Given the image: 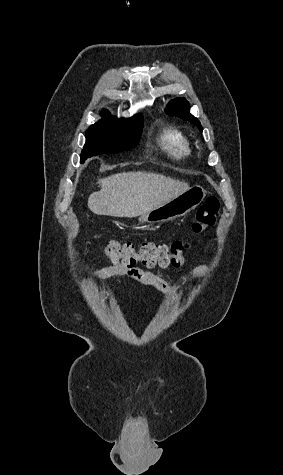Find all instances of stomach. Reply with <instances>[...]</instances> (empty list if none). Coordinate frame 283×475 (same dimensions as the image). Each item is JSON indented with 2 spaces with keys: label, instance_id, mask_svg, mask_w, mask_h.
<instances>
[{
  "label": "stomach",
  "instance_id": "obj_1",
  "mask_svg": "<svg viewBox=\"0 0 283 475\" xmlns=\"http://www.w3.org/2000/svg\"><path fill=\"white\" fill-rule=\"evenodd\" d=\"M206 196L204 188L201 186H194L188 192L180 194L177 198H172L169 202H165L162 206L142 214L138 218L139 222H148V224H163V222H170L180 216H185L191 210H195Z\"/></svg>",
  "mask_w": 283,
  "mask_h": 475
}]
</instances>
